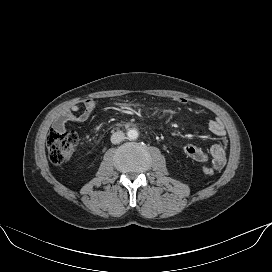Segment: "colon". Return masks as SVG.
Listing matches in <instances>:
<instances>
[{
  "label": "colon",
  "instance_id": "colon-1",
  "mask_svg": "<svg viewBox=\"0 0 272 272\" xmlns=\"http://www.w3.org/2000/svg\"><path fill=\"white\" fill-rule=\"evenodd\" d=\"M77 143L78 137L75 132L52 129L47 136V148L51 162L56 165L66 163L74 153ZM202 171L208 176L214 174V169L210 166H203Z\"/></svg>",
  "mask_w": 272,
  "mask_h": 272
}]
</instances>
